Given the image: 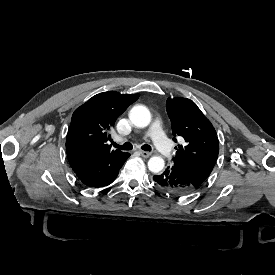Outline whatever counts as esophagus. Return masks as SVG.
Returning <instances> with one entry per match:
<instances>
[{
  "label": "esophagus",
  "instance_id": "1",
  "mask_svg": "<svg viewBox=\"0 0 275 275\" xmlns=\"http://www.w3.org/2000/svg\"><path fill=\"white\" fill-rule=\"evenodd\" d=\"M139 152H140L141 156H143L144 158H148L150 156L149 152L142 151V150H140Z\"/></svg>",
  "mask_w": 275,
  "mask_h": 275
}]
</instances>
